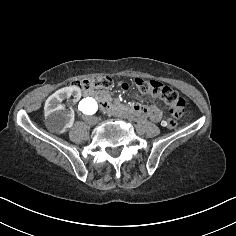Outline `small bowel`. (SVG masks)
<instances>
[{
	"label": "small bowel",
	"instance_id": "c3829d8e",
	"mask_svg": "<svg viewBox=\"0 0 236 236\" xmlns=\"http://www.w3.org/2000/svg\"><path fill=\"white\" fill-rule=\"evenodd\" d=\"M137 117L148 118L153 122H159L162 118V109L156 104L134 105Z\"/></svg>",
	"mask_w": 236,
	"mask_h": 236
}]
</instances>
